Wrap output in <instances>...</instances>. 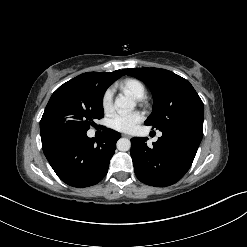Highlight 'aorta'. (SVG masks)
Segmentation results:
<instances>
[{
    "mask_svg": "<svg viewBox=\"0 0 247 247\" xmlns=\"http://www.w3.org/2000/svg\"><path fill=\"white\" fill-rule=\"evenodd\" d=\"M136 103L133 99L120 96L115 99V107L119 111H130L135 107ZM131 148V142L127 138H120L117 141V149L119 151H128Z\"/></svg>",
    "mask_w": 247,
    "mask_h": 247,
    "instance_id": "aorta-1",
    "label": "aorta"
}]
</instances>
